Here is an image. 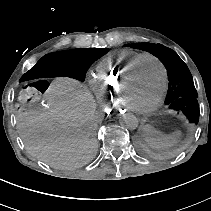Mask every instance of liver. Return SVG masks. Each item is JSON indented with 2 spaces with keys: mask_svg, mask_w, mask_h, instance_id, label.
Returning a JSON list of instances; mask_svg holds the SVG:
<instances>
[{
  "mask_svg": "<svg viewBox=\"0 0 211 211\" xmlns=\"http://www.w3.org/2000/svg\"><path fill=\"white\" fill-rule=\"evenodd\" d=\"M48 108L17 116L18 133L27 150L57 169L79 168L98 149L95 103L77 80L58 78L48 90Z\"/></svg>",
  "mask_w": 211,
  "mask_h": 211,
  "instance_id": "obj_1",
  "label": "liver"
}]
</instances>
